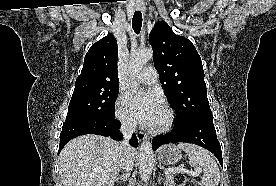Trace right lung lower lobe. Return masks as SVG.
I'll return each instance as SVG.
<instances>
[{"label": "right lung lower lobe", "mask_w": 276, "mask_h": 186, "mask_svg": "<svg viewBox=\"0 0 276 186\" xmlns=\"http://www.w3.org/2000/svg\"><path fill=\"white\" fill-rule=\"evenodd\" d=\"M119 127L120 123L115 119L114 115L110 118L80 117L66 120L63 123L60 134L58 154L68 141L84 134H97L119 141L122 139ZM130 144L133 147L138 146V140L135 134H133Z\"/></svg>", "instance_id": "obj_1"}]
</instances>
